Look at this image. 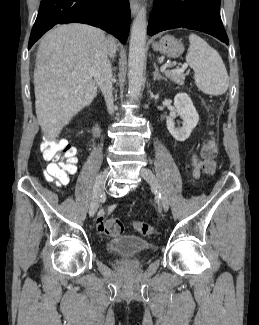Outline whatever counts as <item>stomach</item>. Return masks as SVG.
<instances>
[{
	"mask_svg": "<svg viewBox=\"0 0 259 325\" xmlns=\"http://www.w3.org/2000/svg\"><path fill=\"white\" fill-rule=\"evenodd\" d=\"M152 48L169 58L179 57L183 51L184 46L182 42L172 35H165L160 38L158 42L152 44Z\"/></svg>",
	"mask_w": 259,
	"mask_h": 325,
	"instance_id": "1",
	"label": "stomach"
}]
</instances>
